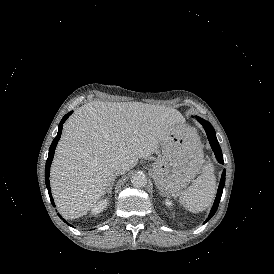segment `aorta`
<instances>
[{
    "mask_svg": "<svg viewBox=\"0 0 274 274\" xmlns=\"http://www.w3.org/2000/svg\"><path fill=\"white\" fill-rule=\"evenodd\" d=\"M131 183L134 187L141 188L144 187L147 184V178L145 175L136 173L131 176Z\"/></svg>",
    "mask_w": 274,
    "mask_h": 274,
    "instance_id": "1",
    "label": "aorta"
}]
</instances>
